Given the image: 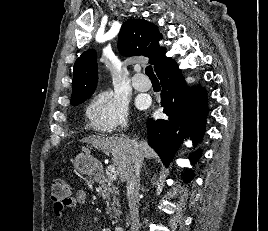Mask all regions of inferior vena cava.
I'll use <instances>...</instances> for the list:
<instances>
[{"label":"inferior vena cava","mask_w":268,"mask_h":231,"mask_svg":"<svg viewBox=\"0 0 268 231\" xmlns=\"http://www.w3.org/2000/svg\"><path fill=\"white\" fill-rule=\"evenodd\" d=\"M142 158L136 149L132 150L131 165L125 173L127 200L130 211L131 231H139V186Z\"/></svg>","instance_id":"602c4592"}]
</instances>
